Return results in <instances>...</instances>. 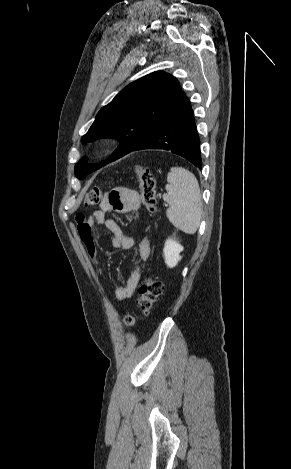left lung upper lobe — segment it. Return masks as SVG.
Wrapping results in <instances>:
<instances>
[{
	"label": "left lung upper lobe",
	"mask_w": 291,
	"mask_h": 469,
	"mask_svg": "<svg viewBox=\"0 0 291 469\" xmlns=\"http://www.w3.org/2000/svg\"><path fill=\"white\" fill-rule=\"evenodd\" d=\"M186 94L172 75L157 71L126 86L97 114L89 131L81 138L91 142L102 137H116L121 145L101 165L75 166L79 179L108 162L115 161L134 148L151 130L158 126L184 99Z\"/></svg>",
	"instance_id": "obj_1"
}]
</instances>
